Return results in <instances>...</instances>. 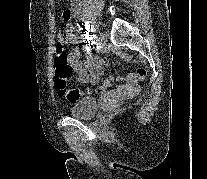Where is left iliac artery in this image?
<instances>
[{
    "mask_svg": "<svg viewBox=\"0 0 207 179\" xmlns=\"http://www.w3.org/2000/svg\"><path fill=\"white\" fill-rule=\"evenodd\" d=\"M91 31H92V35H93V36H92V39H93V40H97V39H98V36H97V35H98V30L95 29L94 27H92V28H91Z\"/></svg>",
    "mask_w": 207,
    "mask_h": 179,
    "instance_id": "44dca946",
    "label": "left iliac artery"
}]
</instances>
